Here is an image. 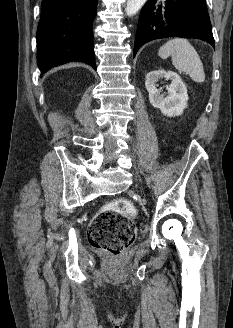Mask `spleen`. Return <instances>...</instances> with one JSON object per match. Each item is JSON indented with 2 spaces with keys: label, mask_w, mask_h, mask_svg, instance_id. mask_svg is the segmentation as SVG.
I'll return each mask as SVG.
<instances>
[{
  "label": "spleen",
  "mask_w": 233,
  "mask_h": 328,
  "mask_svg": "<svg viewBox=\"0 0 233 328\" xmlns=\"http://www.w3.org/2000/svg\"><path fill=\"white\" fill-rule=\"evenodd\" d=\"M159 56L162 59L171 57L174 67L181 73L188 74L197 83L205 81L203 64L194 47L185 38H174L160 47Z\"/></svg>",
  "instance_id": "spleen-1"
}]
</instances>
